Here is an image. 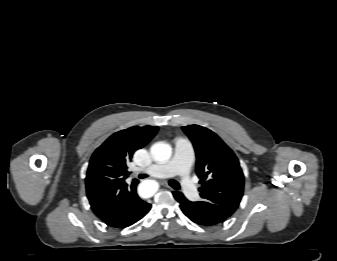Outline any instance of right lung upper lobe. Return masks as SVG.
Listing matches in <instances>:
<instances>
[{
  "instance_id": "right-lung-upper-lobe-1",
  "label": "right lung upper lobe",
  "mask_w": 337,
  "mask_h": 261,
  "mask_svg": "<svg viewBox=\"0 0 337 261\" xmlns=\"http://www.w3.org/2000/svg\"><path fill=\"white\" fill-rule=\"evenodd\" d=\"M158 127H131L111 135L93 153L86 176V193L91 209L102 220L120 208L138 180L126 183L128 162L133 153L144 147L157 133Z\"/></svg>"
}]
</instances>
